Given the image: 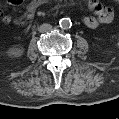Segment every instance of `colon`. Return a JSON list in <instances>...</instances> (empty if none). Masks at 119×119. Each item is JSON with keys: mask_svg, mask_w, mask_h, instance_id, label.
Here are the masks:
<instances>
[{"mask_svg": "<svg viewBox=\"0 0 119 119\" xmlns=\"http://www.w3.org/2000/svg\"><path fill=\"white\" fill-rule=\"evenodd\" d=\"M100 8V6H97L96 9Z\"/></svg>", "mask_w": 119, "mask_h": 119, "instance_id": "5ec220e1", "label": "colon"}]
</instances>
